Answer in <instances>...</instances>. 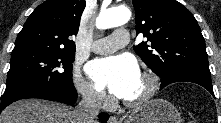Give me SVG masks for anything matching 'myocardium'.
I'll list each match as a JSON object with an SVG mask.
<instances>
[{"mask_svg": "<svg viewBox=\"0 0 221 123\" xmlns=\"http://www.w3.org/2000/svg\"><path fill=\"white\" fill-rule=\"evenodd\" d=\"M140 75L147 80L148 88L146 92L136 100H122L123 104L129 108H139L143 106L144 104L148 103L159 90L160 80L155 73L144 70L140 73Z\"/></svg>", "mask_w": 221, "mask_h": 123, "instance_id": "obj_1", "label": "myocardium"}]
</instances>
